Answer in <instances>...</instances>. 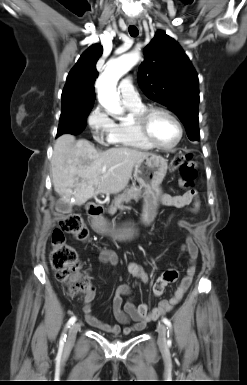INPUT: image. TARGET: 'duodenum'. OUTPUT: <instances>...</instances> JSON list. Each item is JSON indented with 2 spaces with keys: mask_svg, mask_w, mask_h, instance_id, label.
<instances>
[{
  "mask_svg": "<svg viewBox=\"0 0 247 385\" xmlns=\"http://www.w3.org/2000/svg\"><path fill=\"white\" fill-rule=\"evenodd\" d=\"M87 212L95 219V221L92 222L93 227L100 230V222L98 220L103 214L102 206L96 202H90L87 206Z\"/></svg>",
  "mask_w": 247,
  "mask_h": 385,
  "instance_id": "duodenum-1",
  "label": "duodenum"
}]
</instances>
